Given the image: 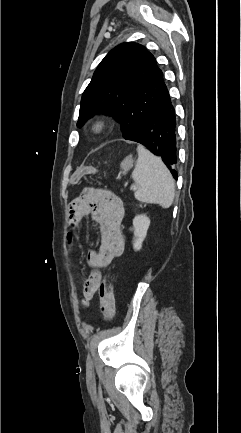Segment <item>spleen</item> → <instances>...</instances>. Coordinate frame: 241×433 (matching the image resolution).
Instances as JSON below:
<instances>
[{
    "label": "spleen",
    "mask_w": 241,
    "mask_h": 433,
    "mask_svg": "<svg viewBox=\"0 0 241 433\" xmlns=\"http://www.w3.org/2000/svg\"><path fill=\"white\" fill-rule=\"evenodd\" d=\"M138 160L132 178L139 186L135 198L144 203L169 208L174 200L175 182L162 160L139 145Z\"/></svg>",
    "instance_id": "3e777b00"
}]
</instances>
